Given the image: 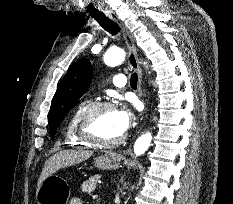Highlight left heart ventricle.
<instances>
[{"mask_svg": "<svg viewBox=\"0 0 233 204\" xmlns=\"http://www.w3.org/2000/svg\"><path fill=\"white\" fill-rule=\"evenodd\" d=\"M92 133L102 140H113L122 136L115 121L114 109L101 111L94 119Z\"/></svg>", "mask_w": 233, "mask_h": 204, "instance_id": "left-heart-ventricle-1", "label": "left heart ventricle"}]
</instances>
